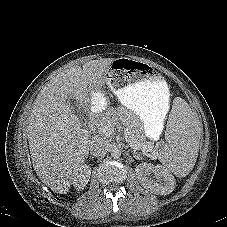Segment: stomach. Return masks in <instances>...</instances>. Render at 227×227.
<instances>
[{"label": "stomach", "mask_w": 227, "mask_h": 227, "mask_svg": "<svg viewBox=\"0 0 227 227\" xmlns=\"http://www.w3.org/2000/svg\"><path fill=\"white\" fill-rule=\"evenodd\" d=\"M104 79L121 104L139 115L145 136L155 139L169 107L168 85L157 68L138 58H122L107 66ZM92 104H98L95 95Z\"/></svg>", "instance_id": "obj_1"}]
</instances>
